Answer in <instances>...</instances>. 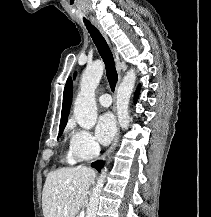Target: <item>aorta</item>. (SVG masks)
I'll use <instances>...</instances> for the list:
<instances>
[{"instance_id": "obj_1", "label": "aorta", "mask_w": 211, "mask_h": 217, "mask_svg": "<svg viewBox=\"0 0 211 217\" xmlns=\"http://www.w3.org/2000/svg\"><path fill=\"white\" fill-rule=\"evenodd\" d=\"M104 64L97 60L88 65L81 76L80 92L74 105V117L77 123L84 129H91L97 121V107L95 90L103 75ZM136 81L134 69H130L124 76L117 91V115L122 129H128L130 118L128 106L131 93ZM106 169L102 171L97 184L93 188L87 208L86 217H96L99 204V195L104 185Z\"/></svg>"}]
</instances>
